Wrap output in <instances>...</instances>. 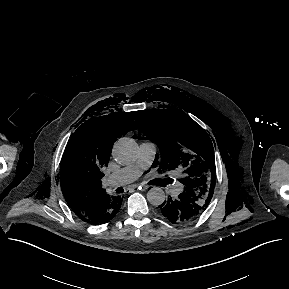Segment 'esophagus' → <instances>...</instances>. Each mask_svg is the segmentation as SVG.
I'll return each mask as SVG.
<instances>
[{
	"label": "esophagus",
	"mask_w": 289,
	"mask_h": 289,
	"mask_svg": "<svg viewBox=\"0 0 289 289\" xmlns=\"http://www.w3.org/2000/svg\"><path fill=\"white\" fill-rule=\"evenodd\" d=\"M132 188H133V189L148 190V189L150 188V186H149V185H140V186L134 185Z\"/></svg>",
	"instance_id": "34e87169"
}]
</instances>
